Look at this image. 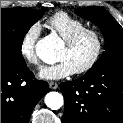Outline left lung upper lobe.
Instances as JSON below:
<instances>
[{
    "instance_id": "5c2ea615",
    "label": "left lung upper lobe",
    "mask_w": 123,
    "mask_h": 123,
    "mask_svg": "<svg viewBox=\"0 0 123 123\" xmlns=\"http://www.w3.org/2000/svg\"><path fill=\"white\" fill-rule=\"evenodd\" d=\"M75 13L98 26L105 39V51L92 68L110 60L123 59V28L108 11L93 6L77 9Z\"/></svg>"
}]
</instances>
